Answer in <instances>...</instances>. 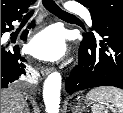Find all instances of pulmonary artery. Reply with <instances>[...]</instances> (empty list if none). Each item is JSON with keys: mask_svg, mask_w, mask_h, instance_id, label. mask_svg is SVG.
<instances>
[{"mask_svg": "<svg viewBox=\"0 0 123 113\" xmlns=\"http://www.w3.org/2000/svg\"><path fill=\"white\" fill-rule=\"evenodd\" d=\"M67 8L71 12L78 13L88 23H91V16H90L89 11L87 9L83 8L82 6H80L78 3L68 2L67 3Z\"/></svg>", "mask_w": 123, "mask_h": 113, "instance_id": "pulmonary-artery-1", "label": "pulmonary artery"}]
</instances>
